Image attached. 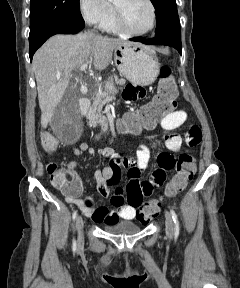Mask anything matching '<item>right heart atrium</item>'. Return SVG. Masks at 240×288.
I'll list each match as a JSON object with an SVG mask.
<instances>
[{
    "instance_id": "obj_1",
    "label": "right heart atrium",
    "mask_w": 240,
    "mask_h": 288,
    "mask_svg": "<svg viewBox=\"0 0 240 288\" xmlns=\"http://www.w3.org/2000/svg\"><path fill=\"white\" fill-rule=\"evenodd\" d=\"M79 8L87 22L98 26L104 25L114 14L109 0H79Z\"/></svg>"
}]
</instances>
